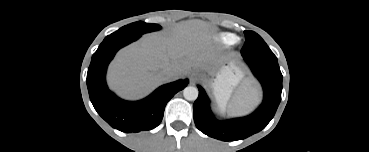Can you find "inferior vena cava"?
<instances>
[{
  "label": "inferior vena cava",
  "mask_w": 369,
  "mask_h": 152,
  "mask_svg": "<svg viewBox=\"0 0 369 152\" xmlns=\"http://www.w3.org/2000/svg\"><path fill=\"white\" fill-rule=\"evenodd\" d=\"M164 72L167 76L173 77L177 74L178 71L174 67H167V68H165Z\"/></svg>",
  "instance_id": "obj_1"
}]
</instances>
